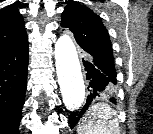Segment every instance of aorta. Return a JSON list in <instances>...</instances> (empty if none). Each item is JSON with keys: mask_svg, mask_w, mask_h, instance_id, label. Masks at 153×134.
<instances>
[{"mask_svg": "<svg viewBox=\"0 0 153 134\" xmlns=\"http://www.w3.org/2000/svg\"><path fill=\"white\" fill-rule=\"evenodd\" d=\"M55 63L58 83L65 106L80 108L85 99V84L76 47L68 35H62L55 44Z\"/></svg>", "mask_w": 153, "mask_h": 134, "instance_id": "1", "label": "aorta"}]
</instances>
